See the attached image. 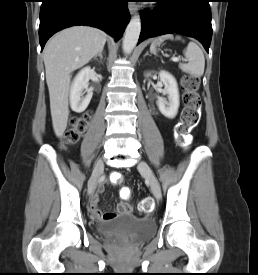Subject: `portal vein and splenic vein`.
Returning a JSON list of instances; mask_svg holds the SVG:
<instances>
[{
  "instance_id": "1",
  "label": "portal vein and splenic vein",
  "mask_w": 258,
  "mask_h": 275,
  "mask_svg": "<svg viewBox=\"0 0 258 275\" xmlns=\"http://www.w3.org/2000/svg\"><path fill=\"white\" fill-rule=\"evenodd\" d=\"M172 60H173V61H179L180 58L173 56V57H172Z\"/></svg>"
}]
</instances>
